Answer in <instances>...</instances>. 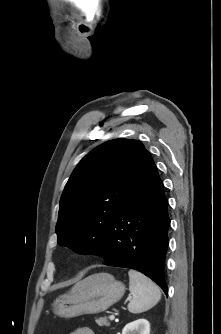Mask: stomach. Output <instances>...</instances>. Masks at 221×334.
Instances as JSON below:
<instances>
[{
	"label": "stomach",
	"instance_id": "0dacf381",
	"mask_svg": "<svg viewBox=\"0 0 221 334\" xmlns=\"http://www.w3.org/2000/svg\"><path fill=\"white\" fill-rule=\"evenodd\" d=\"M124 292V284L112 275L92 274L80 288L59 296L52 304L53 312L64 318L101 313L118 302Z\"/></svg>",
	"mask_w": 221,
	"mask_h": 334
}]
</instances>
